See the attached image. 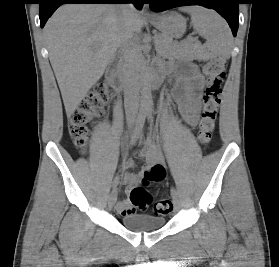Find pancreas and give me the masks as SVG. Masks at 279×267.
I'll list each match as a JSON object with an SVG mask.
<instances>
[{
  "label": "pancreas",
  "instance_id": "obj_1",
  "mask_svg": "<svg viewBox=\"0 0 279 267\" xmlns=\"http://www.w3.org/2000/svg\"><path fill=\"white\" fill-rule=\"evenodd\" d=\"M156 46L160 55L164 58L168 59H191L194 57V53L199 48L197 43H192L187 41L182 44H172L171 41L164 36L156 37ZM131 54H133V63L129 65L127 62H123L121 64L122 72L128 71L131 69L132 71L140 70V63L137 59L139 53V46L132 45L130 48Z\"/></svg>",
  "mask_w": 279,
  "mask_h": 267
}]
</instances>
